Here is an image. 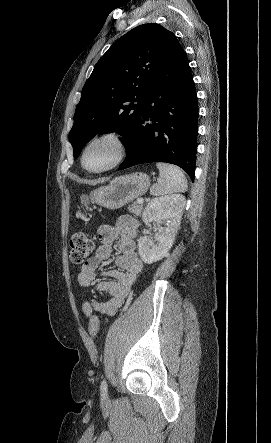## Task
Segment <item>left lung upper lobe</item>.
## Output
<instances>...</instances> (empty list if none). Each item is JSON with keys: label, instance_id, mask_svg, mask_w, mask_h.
<instances>
[{"label": "left lung upper lobe", "instance_id": "5c2ea615", "mask_svg": "<svg viewBox=\"0 0 271 443\" xmlns=\"http://www.w3.org/2000/svg\"><path fill=\"white\" fill-rule=\"evenodd\" d=\"M178 46L176 36L159 24L140 25L113 43L82 89L69 133L74 158L97 133L117 131L127 148L148 86Z\"/></svg>", "mask_w": 271, "mask_h": 443}]
</instances>
